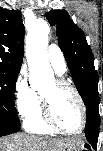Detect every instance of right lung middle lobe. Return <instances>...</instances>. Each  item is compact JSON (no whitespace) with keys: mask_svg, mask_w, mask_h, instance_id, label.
Listing matches in <instances>:
<instances>
[{"mask_svg":"<svg viewBox=\"0 0 103 151\" xmlns=\"http://www.w3.org/2000/svg\"><path fill=\"white\" fill-rule=\"evenodd\" d=\"M20 68L0 65V118L20 125L15 108L14 89Z\"/></svg>","mask_w":103,"mask_h":151,"instance_id":"dd1d6c3e","label":"right lung middle lobe"}]
</instances>
